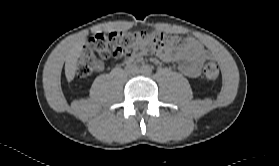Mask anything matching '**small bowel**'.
I'll return each instance as SVG.
<instances>
[{"instance_id":"c3829d8e","label":"small bowel","mask_w":279,"mask_h":166,"mask_svg":"<svg viewBox=\"0 0 279 166\" xmlns=\"http://www.w3.org/2000/svg\"><path fill=\"white\" fill-rule=\"evenodd\" d=\"M149 50H140L136 54L126 59V62H131L134 59L145 55ZM160 58L165 62L181 60L183 63L180 70L188 77L194 78L200 74L201 64L208 57L205 48L196 40L190 39L187 44L180 49H167L157 51Z\"/></svg>"}]
</instances>
